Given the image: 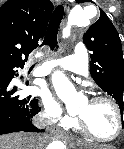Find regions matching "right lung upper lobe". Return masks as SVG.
Segmentation results:
<instances>
[{"mask_svg": "<svg viewBox=\"0 0 124 149\" xmlns=\"http://www.w3.org/2000/svg\"><path fill=\"white\" fill-rule=\"evenodd\" d=\"M53 10L49 0H7L0 7V67H22L45 35Z\"/></svg>", "mask_w": 124, "mask_h": 149, "instance_id": "obj_1", "label": "right lung upper lobe"}]
</instances>
